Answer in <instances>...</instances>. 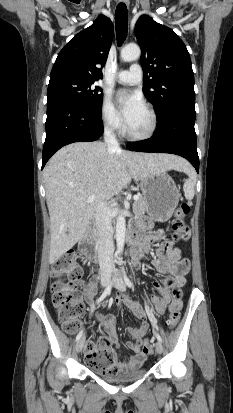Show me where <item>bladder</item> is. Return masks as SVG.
I'll list each match as a JSON object with an SVG mask.
<instances>
[{
  "label": "bladder",
  "mask_w": 233,
  "mask_h": 413,
  "mask_svg": "<svg viewBox=\"0 0 233 413\" xmlns=\"http://www.w3.org/2000/svg\"><path fill=\"white\" fill-rule=\"evenodd\" d=\"M103 379L109 382H126L139 379L146 374V369L144 368H131L116 374H101Z\"/></svg>",
  "instance_id": "bladder-1"
}]
</instances>
